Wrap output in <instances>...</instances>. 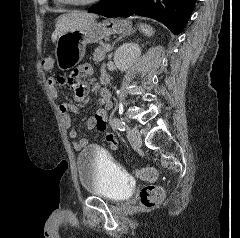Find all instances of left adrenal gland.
Instances as JSON below:
<instances>
[{
  "mask_svg": "<svg viewBox=\"0 0 240 238\" xmlns=\"http://www.w3.org/2000/svg\"><path fill=\"white\" fill-rule=\"evenodd\" d=\"M133 33H134V31L130 30V31H128L127 33H124L123 35H120V36L114 41L111 49H113L114 45H115L118 41H120L121 39H123V38L126 37V36H130V35L133 34ZM111 56H112V53L109 55V59L111 58Z\"/></svg>",
  "mask_w": 240,
  "mask_h": 238,
  "instance_id": "obj_1",
  "label": "left adrenal gland"
}]
</instances>
